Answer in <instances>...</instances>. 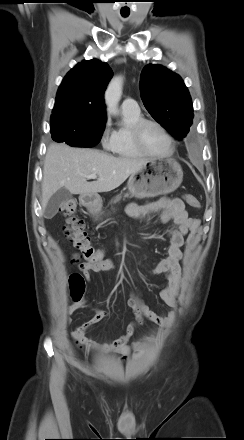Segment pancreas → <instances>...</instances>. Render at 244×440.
Instances as JSON below:
<instances>
[{"instance_id":"1","label":"pancreas","mask_w":244,"mask_h":440,"mask_svg":"<svg viewBox=\"0 0 244 440\" xmlns=\"http://www.w3.org/2000/svg\"><path fill=\"white\" fill-rule=\"evenodd\" d=\"M126 197H128V195H125ZM121 199V196H117L116 199L114 200V203L118 202Z\"/></svg>"}]
</instances>
